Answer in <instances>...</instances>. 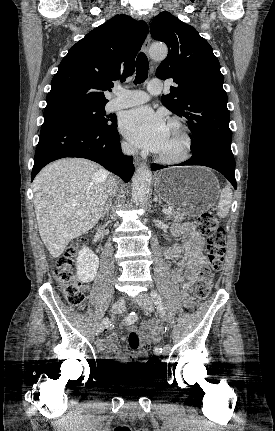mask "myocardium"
<instances>
[{
    "label": "myocardium",
    "mask_w": 275,
    "mask_h": 431,
    "mask_svg": "<svg viewBox=\"0 0 275 431\" xmlns=\"http://www.w3.org/2000/svg\"><path fill=\"white\" fill-rule=\"evenodd\" d=\"M168 124L175 126L179 130L182 137V149L175 156H164L158 153L156 155V159L160 163L166 164V165H175V164L183 163L190 158L192 153L193 139H192L191 132L187 127V125L177 117H173L169 119Z\"/></svg>",
    "instance_id": "myocardium-1"
}]
</instances>
